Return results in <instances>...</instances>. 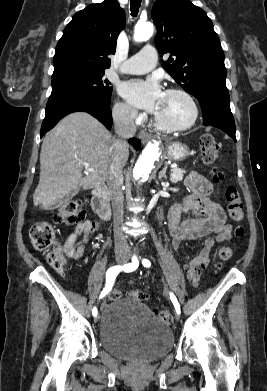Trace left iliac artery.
Returning <instances> with one entry per match:
<instances>
[{
    "mask_svg": "<svg viewBox=\"0 0 267 391\" xmlns=\"http://www.w3.org/2000/svg\"><path fill=\"white\" fill-rule=\"evenodd\" d=\"M142 264H143L145 267H150V265H151L150 261L147 260V259H143V260H142ZM170 299H171V301H172V303H173V305H174V307H175V309H176V312H177L178 314H180V305H179V303H178V301H177V298L175 297V295H174L173 293H170Z\"/></svg>",
    "mask_w": 267,
    "mask_h": 391,
    "instance_id": "obj_1",
    "label": "left iliac artery"
}]
</instances>
